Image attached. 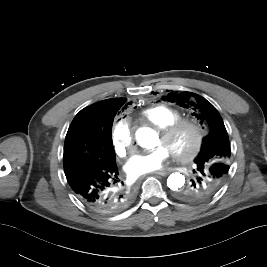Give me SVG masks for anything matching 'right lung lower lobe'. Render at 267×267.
<instances>
[{
    "instance_id": "right-lung-lower-lobe-1",
    "label": "right lung lower lobe",
    "mask_w": 267,
    "mask_h": 267,
    "mask_svg": "<svg viewBox=\"0 0 267 267\" xmlns=\"http://www.w3.org/2000/svg\"><path fill=\"white\" fill-rule=\"evenodd\" d=\"M66 178L77 197L102 214L119 213L135 199L134 189L121 181L116 162L89 165L66 175Z\"/></svg>"
}]
</instances>
